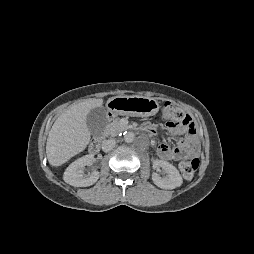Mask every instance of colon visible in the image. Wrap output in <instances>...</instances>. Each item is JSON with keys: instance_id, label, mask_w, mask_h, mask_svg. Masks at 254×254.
Returning a JSON list of instances; mask_svg holds the SVG:
<instances>
[{"instance_id": "obj_1", "label": "colon", "mask_w": 254, "mask_h": 254, "mask_svg": "<svg viewBox=\"0 0 254 254\" xmlns=\"http://www.w3.org/2000/svg\"><path fill=\"white\" fill-rule=\"evenodd\" d=\"M163 118L170 128L185 127L189 135L196 133L195 123L189 114L171 102H166L162 108ZM199 165L195 157L183 158L179 161V169L185 179H191Z\"/></svg>"}]
</instances>
